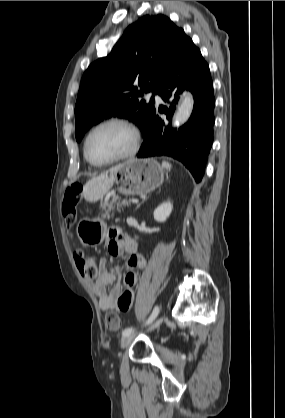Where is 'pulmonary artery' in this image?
<instances>
[{"instance_id":"e3ab8cb5","label":"pulmonary artery","mask_w":285,"mask_h":418,"mask_svg":"<svg viewBox=\"0 0 285 418\" xmlns=\"http://www.w3.org/2000/svg\"><path fill=\"white\" fill-rule=\"evenodd\" d=\"M148 96H150V97H154V98H156V99H158V100H161L160 95H159L158 93L154 92V91L149 92V93H148Z\"/></svg>"}]
</instances>
